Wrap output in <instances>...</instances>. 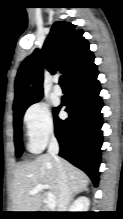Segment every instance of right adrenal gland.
Here are the masks:
<instances>
[{
  "mask_svg": "<svg viewBox=\"0 0 123 219\" xmlns=\"http://www.w3.org/2000/svg\"><path fill=\"white\" fill-rule=\"evenodd\" d=\"M87 190H88V189L85 188V189L82 190V191H87ZM79 192H81V191H79ZM79 192H76V193H74V194L71 196V202L73 201L74 197H75Z\"/></svg>",
  "mask_w": 123,
  "mask_h": 219,
  "instance_id": "obj_1",
  "label": "right adrenal gland"
}]
</instances>
